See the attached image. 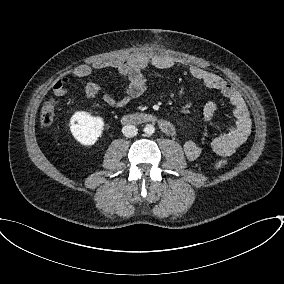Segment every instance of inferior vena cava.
I'll return each instance as SVG.
<instances>
[{
	"mask_svg": "<svg viewBox=\"0 0 284 284\" xmlns=\"http://www.w3.org/2000/svg\"><path fill=\"white\" fill-rule=\"evenodd\" d=\"M122 133L126 137H134L138 133V129L134 125H126L122 128Z\"/></svg>",
	"mask_w": 284,
	"mask_h": 284,
	"instance_id": "602c4592",
	"label": "inferior vena cava"
}]
</instances>
